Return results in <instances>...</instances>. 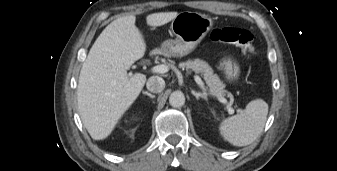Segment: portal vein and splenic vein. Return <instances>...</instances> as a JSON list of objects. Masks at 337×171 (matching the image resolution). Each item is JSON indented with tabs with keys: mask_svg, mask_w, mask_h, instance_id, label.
I'll use <instances>...</instances> for the list:
<instances>
[{
	"mask_svg": "<svg viewBox=\"0 0 337 171\" xmlns=\"http://www.w3.org/2000/svg\"><path fill=\"white\" fill-rule=\"evenodd\" d=\"M168 70H169V67H168L167 65H165V64H161V65L154 66V67H152V69H151V71H152L153 73H166V72H168ZM194 79H195L196 83L201 87V89H202L205 93H207V88H206L204 82L201 80V78H200L198 75H196V76L194 77ZM229 95H231V94H229ZM217 99H218L221 103L227 104V100H226L222 95H221V96H218ZM227 109H228V113H229V114H234L235 110H234L229 104L227 105ZM237 112H238V113H242L243 110H242V109H238Z\"/></svg>",
	"mask_w": 337,
	"mask_h": 171,
	"instance_id": "obj_1",
	"label": "portal vein and splenic vein"
}]
</instances>
